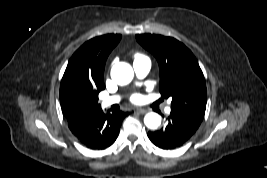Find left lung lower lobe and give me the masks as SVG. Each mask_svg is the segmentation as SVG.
Masks as SVG:
<instances>
[{
  "label": "left lung lower lobe",
  "mask_w": 267,
  "mask_h": 178,
  "mask_svg": "<svg viewBox=\"0 0 267 178\" xmlns=\"http://www.w3.org/2000/svg\"><path fill=\"white\" fill-rule=\"evenodd\" d=\"M198 127L178 113L171 112L167 125L148 133L151 142L162 149H175L185 144L196 132Z\"/></svg>",
  "instance_id": "obj_1"
}]
</instances>
